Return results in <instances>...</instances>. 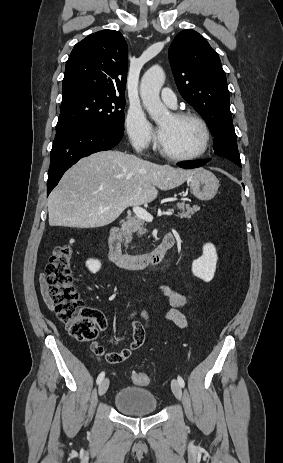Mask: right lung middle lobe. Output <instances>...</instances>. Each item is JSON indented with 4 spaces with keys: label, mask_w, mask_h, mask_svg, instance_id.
Returning <instances> with one entry per match:
<instances>
[{
    "label": "right lung middle lobe",
    "mask_w": 283,
    "mask_h": 463,
    "mask_svg": "<svg viewBox=\"0 0 283 463\" xmlns=\"http://www.w3.org/2000/svg\"><path fill=\"white\" fill-rule=\"evenodd\" d=\"M125 98L84 94L61 103L56 133L75 127L94 125L124 133Z\"/></svg>",
    "instance_id": "right-lung-middle-lobe-1"
}]
</instances>
